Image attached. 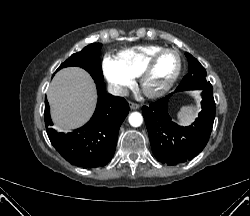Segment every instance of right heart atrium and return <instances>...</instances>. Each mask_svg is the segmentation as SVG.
<instances>
[{
	"label": "right heart atrium",
	"mask_w": 250,
	"mask_h": 216,
	"mask_svg": "<svg viewBox=\"0 0 250 216\" xmlns=\"http://www.w3.org/2000/svg\"><path fill=\"white\" fill-rule=\"evenodd\" d=\"M102 70L113 91L119 95L124 94L134 83V78L120 66L116 59L110 56L104 58Z\"/></svg>",
	"instance_id": "1"
}]
</instances>
